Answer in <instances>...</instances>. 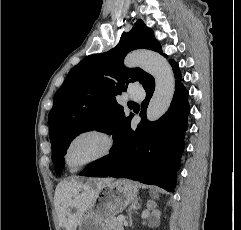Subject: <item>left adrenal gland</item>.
<instances>
[{
  "label": "left adrenal gland",
  "mask_w": 241,
  "mask_h": 230,
  "mask_svg": "<svg viewBox=\"0 0 241 230\" xmlns=\"http://www.w3.org/2000/svg\"><path fill=\"white\" fill-rule=\"evenodd\" d=\"M139 208H140V204H138V199H136V200L132 203L130 209L128 210L129 226L132 224V212H131L132 209H139Z\"/></svg>",
  "instance_id": "obj_1"
}]
</instances>
